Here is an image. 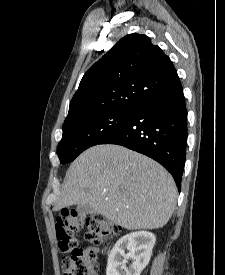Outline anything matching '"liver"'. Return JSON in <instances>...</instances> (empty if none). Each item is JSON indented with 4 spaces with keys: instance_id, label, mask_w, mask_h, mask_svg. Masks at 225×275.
Returning a JSON list of instances; mask_svg holds the SVG:
<instances>
[{
    "instance_id": "1",
    "label": "liver",
    "mask_w": 225,
    "mask_h": 275,
    "mask_svg": "<svg viewBox=\"0 0 225 275\" xmlns=\"http://www.w3.org/2000/svg\"><path fill=\"white\" fill-rule=\"evenodd\" d=\"M177 188L154 160L123 146L96 145L70 165L54 211L87 205L128 230L158 229L174 211Z\"/></svg>"
}]
</instances>
